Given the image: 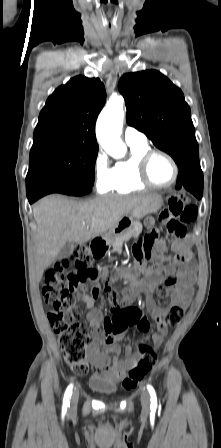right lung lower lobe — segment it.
Segmentation results:
<instances>
[{"instance_id":"obj_1","label":"right lung lower lobe","mask_w":221,"mask_h":448,"mask_svg":"<svg viewBox=\"0 0 221 448\" xmlns=\"http://www.w3.org/2000/svg\"><path fill=\"white\" fill-rule=\"evenodd\" d=\"M92 191V187L77 188L56 180L39 178L26 181L27 198L30 204L50 193H62L72 196H82Z\"/></svg>"}]
</instances>
